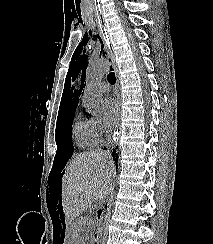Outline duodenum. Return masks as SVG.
I'll use <instances>...</instances> for the list:
<instances>
[{
  "label": "duodenum",
  "instance_id": "410a0bca",
  "mask_svg": "<svg viewBox=\"0 0 213 244\" xmlns=\"http://www.w3.org/2000/svg\"><path fill=\"white\" fill-rule=\"evenodd\" d=\"M100 238V230H98L93 236L92 244H101Z\"/></svg>",
  "mask_w": 213,
  "mask_h": 244
}]
</instances>
